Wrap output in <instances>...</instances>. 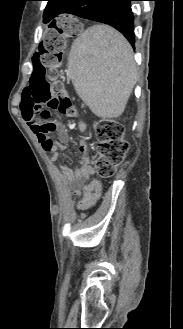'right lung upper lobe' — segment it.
<instances>
[{
	"label": "right lung upper lobe",
	"instance_id": "1",
	"mask_svg": "<svg viewBox=\"0 0 183 329\" xmlns=\"http://www.w3.org/2000/svg\"><path fill=\"white\" fill-rule=\"evenodd\" d=\"M48 4L46 6V9L44 11V22H49L51 21L55 16V11L51 8L57 1L60 0H47Z\"/></svg>",
	"mask_w": 183,
	"mask_h": 329
}]
</instances>
